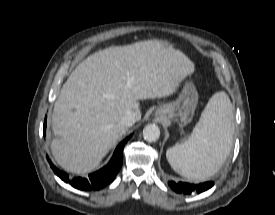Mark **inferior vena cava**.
<instances>
[{
    "mask_svg": "<svg viewBox=\"0 0 275 215\" xmlns=\"http://www.w3.org/2000/svg\"><path fill=\"white\" fill-rule=\"evenodd\" d=\"M135 121V113L133 111H127L124 117L121 119L120 124L126 127H130L135 123Z\"/></svg>",
    "mask_w": 275,
    "mask_h": 215,
    "instance_id": "1",
    "label": "inferior vena cava"
}]
</instances>
